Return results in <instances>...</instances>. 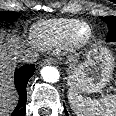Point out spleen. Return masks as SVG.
I'll use <instances>...</instances> for the list:
<instances>
[{"mask_svg":"<svg viewBox=\"0 0 116 116\" xmlns=\"http://www.w3.org/2000/svg\"><path fill=\"white\" fill-rule=\"evenodd\" d=\"M68 99L77 116H116V94L98 100L83 97L70 89Z\"/></svg>","mask_w":116,"mask_h":116,"instance_id":"1","label":"spleen"}]
</instances>
